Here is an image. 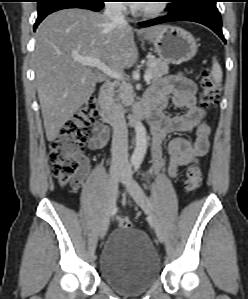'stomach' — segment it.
<instances>
[{
	"mask_svg": "<svg viewBox=\"0 0 248 299\" xmlns=\"http://www.w3.org/2000/svg\"><path fill=\"white\" fill-rule=\"evenodd\" d=\"M151 42L160 59L172 64L186 62L197 52L193 35L176 26H163Z\"/></svg>",
	"mask_w": 248,
	"mask_h": 299,
	"instance_id": "obj_1",
	"label": "stomach"
}]
</instances>
